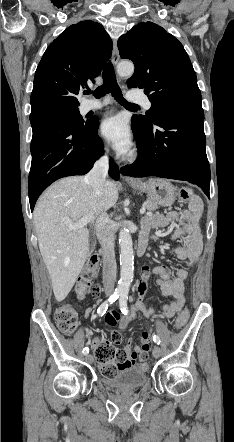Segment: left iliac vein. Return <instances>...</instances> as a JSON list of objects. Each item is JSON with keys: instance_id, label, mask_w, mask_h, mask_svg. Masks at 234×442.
<instances>
[{"instance_id": "left-iliac-vein-1", "label": "left iliac vein", "mask_w": 234, "mask_h": 442, "mask_svg": "<svg viewBox=\"0 0 234 442\" xmlns=\"http://www.w3.org/2000/svg\"><path fill=\"white\" fill-rule=\"evenodd\" d=\"M154 358H159L161 355V348L158 345H155L152 351Z\"/></svg>"}]
</instances>
